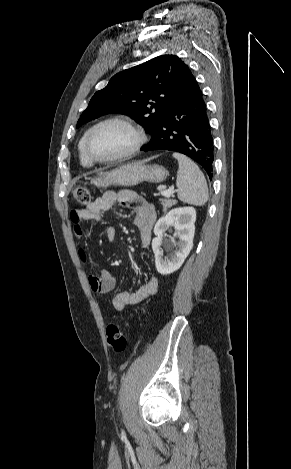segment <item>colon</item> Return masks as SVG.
<instances>
[{
  "label": "colon",
  "instance_id": "colon-1",
  "mask_svg": "<svg viewBox=\"0 0 291 469\" xmlns=\"http://www.w3.org/2000/svg\"><path fill=\"white\" fill-rule=\"evenodd\" d=\"M74 201L85 205L90 202V192L84 186H77L73 192ZM107 343L116 352H123L128 344V337L117 324H110L106 329Z\"/></svg>",
  "mask_w": 291,
  "mask_h": 469
}]
</instances>
